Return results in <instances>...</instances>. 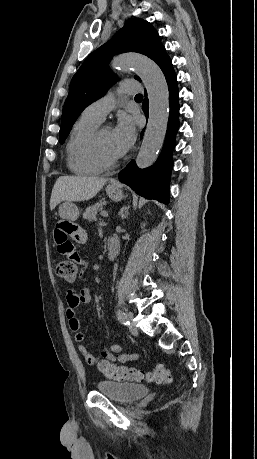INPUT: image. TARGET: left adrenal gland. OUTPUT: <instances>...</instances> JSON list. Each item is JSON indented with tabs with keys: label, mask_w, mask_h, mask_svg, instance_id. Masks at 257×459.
<instances>
[{
	"label": "left adrenal gland",
	"mask_w": 257,
	"mask_h": 459,
	"mask_svg": "<svg viewBox=\"0 0 257 459\" xmlns=\"http://www.w3.org/2000/svg\"><path fill=\"white\" fill-rule=\"evenodd\" d=\"M128 215H129V207L127 206L122 207L120 210V216L122 220L126 219Z\"/></svg>",
	"instance_id": "1"
}]
</instances>
